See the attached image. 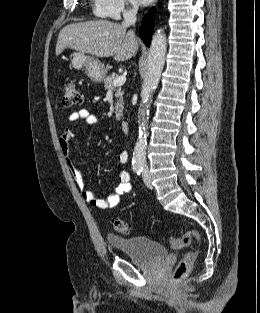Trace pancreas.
<instances>
[{"label": "pancreas", "instance_id": "cf45deb5", "mask_svg": "<svg viewBox=\"0 0 260 313\" xmlns=\"http://www.w3.org/2000/svg\"><path fill=\"white\" fill-rule=\"evenodd\" d=\"M118 75L116 73H112L104 78V87L105 90H112L115 91V114L116 119L121 120L123 116V91L120 88H116L113 86V80L117 78Z\"/></svg>", "mask_w": 260, "mask_h": 313}]
</instances>
